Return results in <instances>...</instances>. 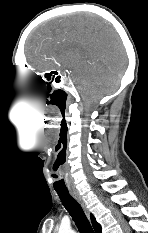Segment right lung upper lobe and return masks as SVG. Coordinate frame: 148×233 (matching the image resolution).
<instances>
[{"mask_svg":"<svg viewBox=\"0 0 148 233\" xmlns=\"http://www.w3.org/2000/svg\"><path fill=\"white\" fill-rule=\"evenodd\" d=\"M91 222L96 233H102L101 225L96 221L93 215H91Z\"/></svg>","mask_w":148,"mask_h":233,"instance_id":"obj_1","label":"right lung upper lobe"}]
</instances>
